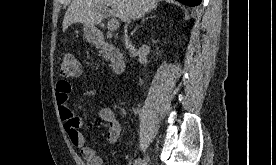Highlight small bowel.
Here are the masks:
<instances>
[{"instance_id":"1","label":"small bowel","mask_w":276,"mask_h":165,"mask_svg":"<svg viewBox=\"0 0 276 165\" xmlns=\"http://www.w3.org/2000/svg\"><path fill=\"white\" fill-rule=\"evenodd\" d=\"M72 91L73 87L68 81L61 80L56 84L55 99L64 130L71 144L80 151L86 165H103L102 158L86 144L85 138L80 132L83 121L69 104V95ZM96 94L97 90L94 88L78 92V96L82 98L94 97ZM97 115L98 119L91 123V129L97 128L101 122L107 123V141L110 144L115 143L120 136L121 125L114 111L108 106L99 105L97 106Z\"/></svg>"}]
</instances>
